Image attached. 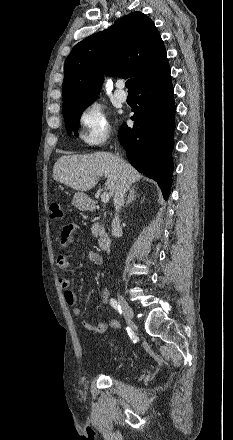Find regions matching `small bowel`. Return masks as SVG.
<instances>
[{
  "label": "small bowel",
  "mask_w": 233,
  "mask_h": 440,
  "mask_svg": "<svg viewBox=\"0 0 233 440\" xmlns=\"http://www.w3.org/2000/svg\"><path fill=\"white\" fill-rule=\"evenodd\" d=\"M79 229V226L75 223L67 224L63 227L61 235H60V248L62 253L57 256L56 264L61 270H71L73 268L72 263L70 262L67 255L64 253L67 251L75 242L76 233ZM88 258L95 265L101 266L103 264L102 257L97 252H89ZM59 286L64 290V299L65 302L73 308V314L76 317H80L83 314L82 309L78 306V296L77 294L70 289L71 281L67 276H60L58 280ZM108 291L106 288L101 290V303L103 305L107 304ZM82 326L85 330L92 333H104L108 329H117L120 326V323L117 319H112L109 322H100L95 324L90 321H83Z\"/></svg>",
  "instance_id": "small-bowel-1"
}]
</instances>
